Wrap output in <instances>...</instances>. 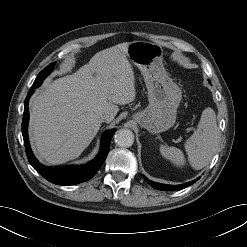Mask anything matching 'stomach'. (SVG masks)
I'll return each mask as SVG.
<instances>
[{
  "label": "stomach",
  "mask_w": 247,
  "mask_h": 247,
  "mask_svg": "<svg viewBox=\"0 0 247 247\" xmlns=\"http://www.w3.org/2000/svg\"><path fill=\"white\" fill-rule=\"evenodd\" d=\"M163 54L161 45L147 41H133L127 48L128 60L144 77L149 100L148 107L135 113L133 119L152 134L174 125L182 99L181 89L164 69Z\"/></svg>",
  "instance_id": "stomach-1"
}]
</instances>
